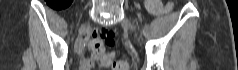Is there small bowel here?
Instances as JSON below:
<instances>
[{
	"label": "small bowel",
	"instance_id": "1",
	"mask_svg": "<svg viewBox=\"0 0 238 70\" xmlns=\"http://www.w3.org/2000/svg\"><path fill=\"white\" fill-rule=\"evenodd\" d=\"M98 60L102 61V57L93 52L91 58L85 59L82 62V64H81L82 70H90V69L94 68V66Z\"/></svg>",
	"mask_w": 238,
	"mask_h": 70
}]
</instances>
